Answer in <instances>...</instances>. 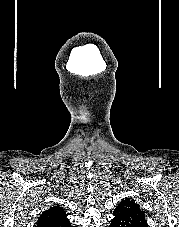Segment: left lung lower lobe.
Instances as JSON below:
<instances>
[{
	"mask_svg": "<svg viewBox=\"0 0 179 227\" xmlns=\"http://www.w3.org/2000/svg\"><path fill=\"white\" fill-rule=\"evenodd\" d=\"M110 227H114V224L111 222V225H110Z\"/></svg>",
	"mask_w": 179,
	"mask_h": 227,
	"instance_id": "1",
	"label": "left lung lower lobe"
}]
</instances>
